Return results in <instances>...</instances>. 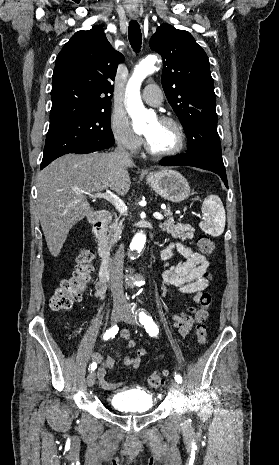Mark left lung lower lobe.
I'll use <instances>...</instances> for the list:
<instances>
[{
	"mask_svg": "<svg viewBox=\"0 0 279 465\" xmlns=\"http://www.w3.org/2000/svg\"><path fill=\"white\" fill-rule=\"evenodd\" d=\"M160 165L162 166H181V165H187V166H193V167H198L204 170H209L212 171L216 174H218L222 181L224 182L225 186L228 188V181H227V176L225 169L220 168L211 162L204 160L202 158L192 156V155H177L169 158H164L160 161Z\"/></svg>",
	"mask_w": 279,
	"mask_h": 465,
	"instance_id": "left-lung-lower-lobe-1",
	"label": "left lung lower lobe"
}]
</instances>
